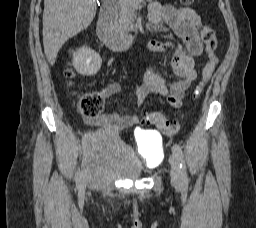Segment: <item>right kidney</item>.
Segmentation results:
<instances>
[{
	"mask_svg": "<svg viewBox=\"0 0 256 228\" xmlns=\"http://www.w3.org/2000/svg\"><path fill=\"white\" fill-rule=\"evenodd\" d=\"M102 59L98 53L88 47H83L73 55V66L82 76H93L101 68Z\"/></svg>",
	"mask_w": 256,
	"mask_h": 228,
	"instance_id": "right-kidney-1",
	"label": "right kidney"
}]
</instances>
